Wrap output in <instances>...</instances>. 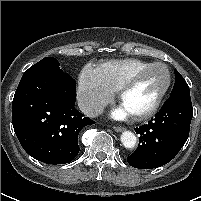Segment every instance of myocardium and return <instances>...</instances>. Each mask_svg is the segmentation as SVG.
Masks as SVG:
<instances>
[{
    "instance_id": "obj_1",
    "label": "myocardium",
    "mask_w": 201,
    "mask_h": 201,
    "mask_svg": "<svg viewBox=\"0 0 201 201\" xmlns=\"http://www.w3.org/2000/svg\"><path fill=\"white\" fill-rule=\"evenodd\" d=\"M161 66L165 69L166 74H167V80L164 88L162 91L159 93L157 98L155 99L154 103L145 111L137 113L132 115L136 120H146L153 115L157 113L159 108L161 107L164 98L166 97L172 83V74L170 68L162 62H154L148 65L147 67L139 70L135 74H133L131 77H129L119 88L118 90V99L120 103H122V100L125 96V94L140 80L142 79L152 68Z\"/></svg>"
}]
</instances>
